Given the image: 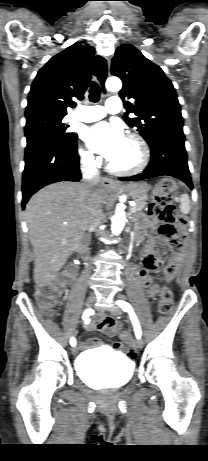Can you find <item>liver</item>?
Wrapping results in <instances>:
<instances>
[{"mask_svg":"<svg viewBox=\"0 0 208 461\" xmlns=\"http://www.w3.org/2000/svg\"><path fill=\"white\" fill-rule=\"evenodd\" d=\"M107 190L98 187L103 203ZM90 195L84 183L59 182L34 194L26 206V221L34 249V280L45 286L66 263L87 229Z\"/></svg>","mask_w":208,"mask_h":461,"instance_id":"obj_1","label":"liver"}]
</instances>
